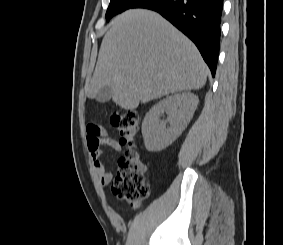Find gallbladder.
<instances>
[{"mask_svg":"<svg viewBox=\"0 0 283 245\" xmlns=\"http://www.w3.org/2000/svg\"><path fill=\"white\" fill-rule=\"evenodd\" d=\"M112 96V88L108 85H105L101 89L98 90V92L95 95V98L99 102H106L110 100Z\"/></svg>","mask_w":283,"mask_h":245,"instance_id":"bac80fb5","label":"gallbladder"}]
</instances>
